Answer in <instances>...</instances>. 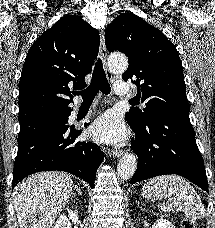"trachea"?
Returning a JSON list of instances; mask_svg holds the SVG:
<instances>
[{
  "label": "trachea",
  "instance_id": "1",
  "mask_svg": "<svg viewBox=\"0 0 215 228\" xmlns=\"http://www.w3.org/2000/svg\"><path fill=\"white\" fill-rule=\"evenodd\" d=\"M101 91L105 95L111 92L110 85L107 81L105 71L103 70L102 62L97 61L94 67V72L90 85L81 92L75 93V95H81L83 98V104L92 103L97 93ZM130 104L134 105V101L130 100Z\"/></svg>",
  "mask_w": 215,
  "mask_h": 228
}]
</instances>
